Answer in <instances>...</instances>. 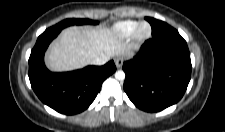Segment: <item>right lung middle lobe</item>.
Returning <instances> with one entry per match:
<instances>
[{"label":"right lung middle lobe","instance_id":"1","mask_svg":"<svg viewBox=\"0 0 225 132\" xmlns=\"http://www.w3.org/2000/svg\"><path fill=\"white\" fill-rule=\"evenodd\" d=\"M75 24L76 25L98 24V22L97 21H91L89 19H66V20H63L62 22H60V23H58L55 26L50 27V28L62 30L63 28H65L67 26L75 25Z\"/></svg>","mask_w":225,"mask_h":132}]
</instances>
